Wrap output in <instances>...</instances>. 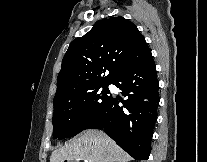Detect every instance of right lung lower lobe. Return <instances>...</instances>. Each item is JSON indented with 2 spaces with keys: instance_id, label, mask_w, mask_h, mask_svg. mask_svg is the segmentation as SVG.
Wrapping results in <instances>:
<instances>
[{
  "instance_id": "right-lung-lower-lobe-1",
  "label": "right lung lower lobe",
  "mask_w": 207,
  "mask_h": 162,
  "mask_svg": "<svg viewBox=\"0 0 207 162\" xmlns=\"http://www.w3.org/2000/svg\"><path fill=\"white\" fill-rule=\"evenodd\" d=\"M111 84L128 99L121 107L112 97L85 129H105L134 159L148 160L160 99L152 55L125 69Z\"/></svg>"
}]
</instances>
